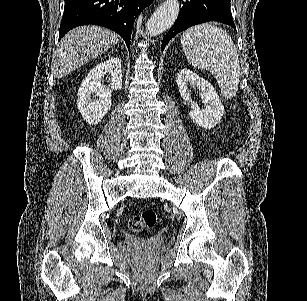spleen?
I'll list each match as a JSON object with an SVG mask.
<instances>
[{"label":"spleen","instance_id":"obj_1","mask_svg":"<svg viewBox=\"0 0 307 301\" xmlns=\"http://www.w3.org/2000/svg\"><path fill=\"white\" fill-rule=\"evenodd\" d=\"M180 42L188 62L214 74L225 98L238 90L240 62L237 48L228 32L214 24H195L183 32Z\"/></svg>","mask_w":307,"mask_h":301}]
</instances>
